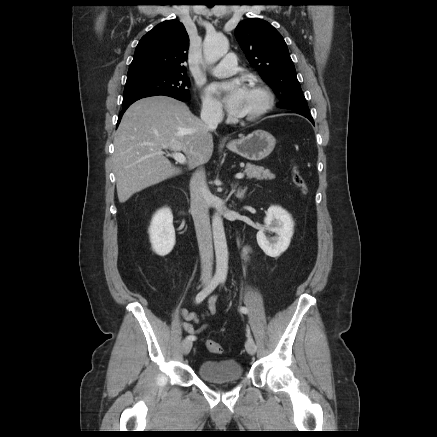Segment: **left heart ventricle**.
I'll return each mask as SVG.
<instances>
[{"label": "left heart ventricle", "mask_w": 437, "mask_h": 437, "mask_svg": "<svg viewBox=\"0 0 437 437\" xmlns=\"http://www.w3.org/2000/svg\"><path fill=\"white\" fill-rule=\"evenodd\" d=\"M263 95L257 91L247 88L241 103L239 112L237 116L250 115L256 112L263 104Z\"/></svg>", "instance_id": "left-heart-ventricle-1"}]
</instances>
